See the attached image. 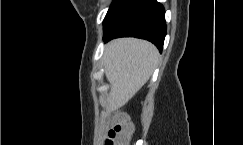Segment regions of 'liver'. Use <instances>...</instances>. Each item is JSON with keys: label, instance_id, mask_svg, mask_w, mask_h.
<instances>
[{"label": "liver", "instance_id": "obj_1", "mask_svg": "<svg viewBox=\"0 0 243 145\" xmlns=\"http://www.w3.org/2000/svg\"><path fill=\"white\" fill-rule=\"evenodd\" d=\"M159 53L148 41L120 38L109 42L104 52V68L111 85L109 109L118 110L149 80Z\"/></svg>", "mask_w": 243, "mask_h": 145}]
</instances>
